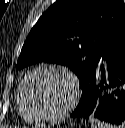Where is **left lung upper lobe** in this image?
<instances>
[{
	"instance_id": "5c2ea615",
	"label": "left lung upper lobe",
	"mask_w": 125,
	"mask_h": 128,
	"mask_svg": "<svg viewBox=\"0 0 125 128\" xmlns=\"http://www.w3.org/2000/svg\"><path fill=\"white\" fill-rule=\"evenodd\" d=\"M124 28L122 0H57L30 31L16 69L39 62L65 65L82 87Z\"/></svg>"
}]
</instances>
